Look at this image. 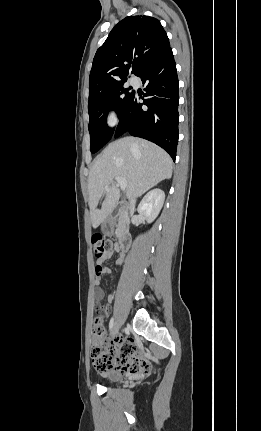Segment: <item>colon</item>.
<instances>
[{"label":"colon","instance_id":"1","mask_svg":"<svg viewBox=\"0 0 261 431\" xmlns=\"http://www.w3.org/2000/svg\"><path fill=\"white\" fill-rule=\"evenodd\" d=\"M94 255L100 260L112 249V243L101 235L92 238ZM101 271L97 264L96 273ZM91 358L95 368L102 373L117 371L121 373L147 374L151 366L136 356L135 347L129 339L108 340L105 336L103 319L96 317L92 324Z\"/></svg>","mask_w":261,"mask_h":431}]
</instances>
